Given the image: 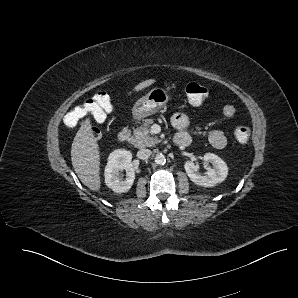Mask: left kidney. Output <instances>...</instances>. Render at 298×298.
Wrapping results in <instances>:
<instances>
[{
	"mask_svg": "<svg viewBox=\"0 0 298 298\" xmlns=\"http://www.w3.org/2000/svg\"><path fill=\"white\" fill-rule=\"evenodd\" d=\"M204 160L213 163V169H208L205 174L198 171L197 165L191 161H186L184 168L189 178L197 185L214 186L226 179L229 173L228 164L213 153H206Z\"/></svg>",
	"mask_w": 298,
	"mask_h": 298,
	"instance_id": "left-kidney-1",
	"label": "left kidney"
}]
</instances>
